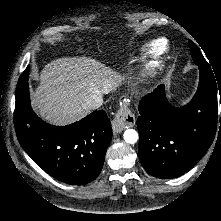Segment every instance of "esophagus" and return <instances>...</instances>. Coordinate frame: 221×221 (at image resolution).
Wrapping results in <instances>:
<instances>
[{"label": "esophagus", "instance_id": "obj_1", "mask_svg": "<svg viewBox=\"0 0 221 221\" xmlns=\"http://www.w3.org/2000/svg\"><path fill=\"white\" fill-rule=\"evenodd\" d=\"M135 125V116L128 108L127 98L124 99V102L121 104L119 110L116 113L112 121L113 131L120 133L125 128H130Z\"/></svg>", "mask_w": 221, "mask_h": 221}]
</instances>
